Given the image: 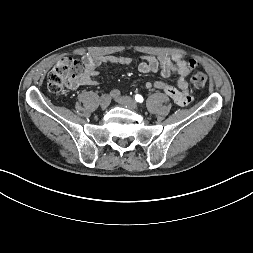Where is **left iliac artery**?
Listing matches in <instances>:
<instances>
[{"instance_id":"left-iliac-artery-1","label":"left iliac artery","mask_w":253,"mask_h":253,"mask_svg":"<svg viewBox=\"0 0 253 253\" xmlns=\"http://www.w3.org/2000/svg\"><path fill=\"white\" fill-rule=\"evenodd\" d=\"M135 100L139 103H142L144 99L141 95L137 94V95H135Z\"/></svg>"}]
</instances>
